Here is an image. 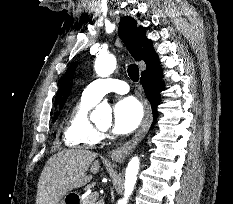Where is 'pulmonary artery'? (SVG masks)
<instances>
[{
    "label": "pulmonary artery",
    "mask_w": 233,
    "mask_h": 204,
    "mask_svg": "<svg viewBox=\"0 0 233 204\" xmlns=\"http://www.w3.org/2000/svg\"><path fill=\"white\" fill-rule=\"evenodd\" d=\"M129 91V86L125 81L114 78L96 79L88 84L82 95L92 101L98 102L105 94L109 92H116L125 94Z\"/></svg>",
    "instance_id": "e3ab8cb5"
}]
</instances>
